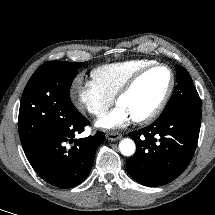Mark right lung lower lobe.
<instances>
[{
	"mask_svg": "<svg viewBox=\"0 0 215 215\" xmlns=\"http://www.w3.org/2000/svg\"><path fill=\"white\" fill-rule=\"evenodd\" d=\"M88 124L80 113L60 128L44 134L23 146L35 172L49 184L71 188L83 182L90 173L97 147L104 142L102 132L73 139ZM67 142L73 143L66 148Z\"/></svg>",
	"mask_w": 215,
	"mask_h": 215,
	"instance_id": "98d812e1",
	"label": "right lung lower lobe"
}]
</instances>
